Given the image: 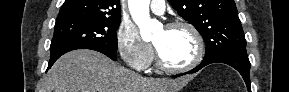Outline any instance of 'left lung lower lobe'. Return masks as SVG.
<instances>
[{
	"label": "left lung lower lobe",
	"instance_id": "obj_1",
	"mask_svg": "<svg viewBox=\"0 0 289 92\" xmlns=\"http://www.w3.org/2000/svg\"><path fill=\"white\" fill-rule=\"evenodd\" d=\"M212 63H225L236 69L241 76L243 77L247 89L249 92H251V85H250V61L248 59L247 54H242V53H221L217 54L214 56H211L209 58H204L201 64H199L196 68L182 74L178 75H173V78L185 75V74H190V73H195L199 71L201 68L205 67L206 65L212 64Z\"/></svg>",
	"mask_w": 289,
	"mask_h": 92
}]
</instances>
